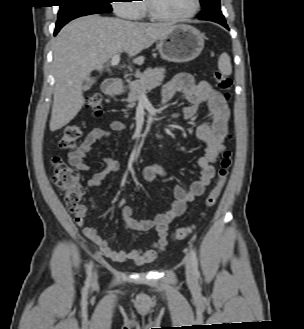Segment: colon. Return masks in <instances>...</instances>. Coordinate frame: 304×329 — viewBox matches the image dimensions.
Here are the masks:
<instances>
[{
    "label": "colon",
    "mask_w": 304,
    "mask_h": 329,
    "mask_svg": "<svg viewBox=\"0 0 304 329\" xmlns=\"http://www.w3.org/2000/svg\"><path fill=\"white\" fill-rule=\"evenodd\" d=\"M213 78L217 87L224 91L226 100L230 99L232 80L219 70L213 72ZM87 107L94 117L102 114V99L99 95H93L87 100ZM82 130L78 124H71L64 128L58 140V147L61 150L70 151L76 148L77 141L81 137ZM233 153L227 149L223 152L220 161L218 179L215 186L210 190L205 198V208H212L222 193L227 180L229 170L232 165ZM54 166L53 182L55 186L63 192L66 207L71 212H78L81 208V201L85 195V189L80 183V175L72 166L64 162L59 156L52 159ZM193 230V226L180 227L173 232L174 240H182L188 237Z\"/></svg>",
    "instance_id": "colon-1"
}]
</instances>
